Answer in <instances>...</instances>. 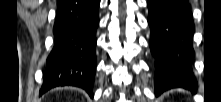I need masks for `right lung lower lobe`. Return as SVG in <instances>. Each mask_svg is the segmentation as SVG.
<instances>
[{"label": "right lung lower lobe", "instance_id": "right-lung-lower-lobe-1", "mask_svg": "<svg viewBox=\"0 0 221 102\" xmlns=\"http://www.w3.org/2000/svg\"><path fill=\"white\" fill-rule=\"evenodd\" d=\"M99 3L58 1L54 45L46 60L40 94L58 86H77L93 97Z\"/></svg>", "mask_w": 221, "mask_h": 102}]
</instances>
